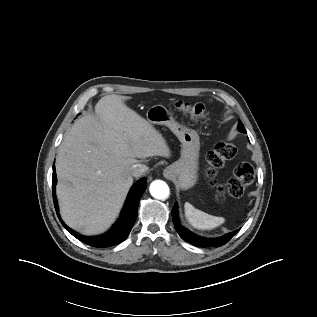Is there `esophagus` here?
<instances>
[{
  "label": "esophagus",
  "instance_id": "34e87169",
  "mask_svg": "<svg viewBox=\"0 0 317 317\" xmlns=\"http://www.w3.org/2000/svg\"><path fill=\"white\" fill-rule=\"evenodd\" d=\"M164 176H165L166 178H170V177H171V174H170V172H169L168 170H166Z\"/></svg>",
  "mask_w": 317,
  "mask_h": 317
}]
</instances>
